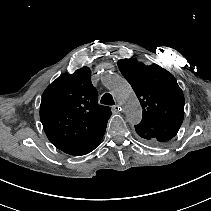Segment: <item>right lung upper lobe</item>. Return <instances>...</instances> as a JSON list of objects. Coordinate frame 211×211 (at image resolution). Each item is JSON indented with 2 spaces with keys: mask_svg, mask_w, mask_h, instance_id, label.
Returning a JSON list of instances; mask_svg holds the SVG:
<instances>
[{
  "mask_svg": "<svg viewBox=\"0 0 211 211\" xmlns=\"http://www.w3.org/2000/svg\"><path fill=\"white\" fill-rule=\"evenodd\" d=\"M111 114L110 107L98 104L88 67L62 74L42 95L40 119L58 149L102 135Z\"/></svg>",
  "mask_w": 211,
  "mask_h": 211,
  "instance_id": "obj_1",
  "label": "right lung upper lobe"
}]
</instances>
